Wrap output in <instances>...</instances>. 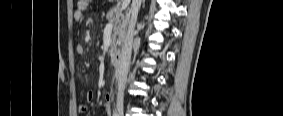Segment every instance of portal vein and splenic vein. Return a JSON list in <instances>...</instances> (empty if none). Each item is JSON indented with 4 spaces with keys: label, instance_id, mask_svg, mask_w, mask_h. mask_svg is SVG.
<instances>
[{
    "label": "portal vein and splenic vein",
    "instance_id": "portal-vein-and-splenic-vein-1",
    "mask_svg": "<svg viewBox=\"0 0 283 116\" xmlns=\"http://www.w3.org/2000/svg\"><path fill=\"white\" fill-rule=\"evenodd\" d=\"M128 0H123L122 1V7L120 9V12H122L123 10H125L127 8V4H128Z\"/></svg>",
    "mask_w": 283,
    "mask_h": 116
}]
</instances>
